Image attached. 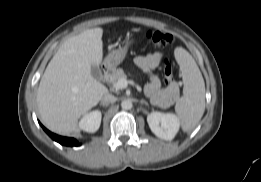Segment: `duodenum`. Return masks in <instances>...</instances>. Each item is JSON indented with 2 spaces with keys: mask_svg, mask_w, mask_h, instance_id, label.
<instances>
[{
  "mask_svg": "<svg viewBox=\"0 0 261 182\" xmlns=\"http://www.w3.org/2000/svg\"><path fill=\"white\" fill-rule=\"evenodd\" d=\"M110 73V67L109 66H104L103 67V79L106 80L109 77Z\"/></svg>",
  "mask_w": 261,
  "mask_h": 182,
  "instance_id": "duodenum-1",
  "label": "duodenum"
}]
</instances>
